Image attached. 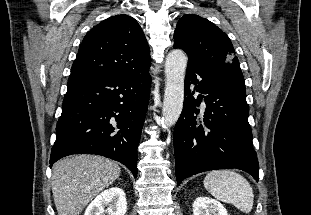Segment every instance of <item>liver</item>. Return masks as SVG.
I'll return each mask as SVG.
<instances>
[{
    "instance_id": "obj_1",
    "label": "liver",
    "mask_w": 311,
    "mask_h": 215,
    "mask_svg": "<svg viewBox=\"0 0 311 215\" xmlns=\"http://www.w3.org/2000/svg\"><path fill=\"white\" fill-rule=\"evenodd\" d=\"M52 170V192L58 215H79L121 172L117 163L90 154L59 160Z\"/></svg>"
}]
</instances>
